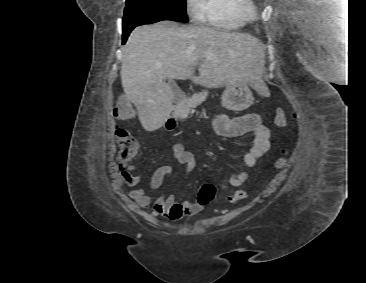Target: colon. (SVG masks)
<instances>
[{
	"mask_svg": "<svg viewBox=\"0 0 366 283\" xmlns=\"http://www.w3.org/2000/svg\"><path fill=\"white\" fill-rule=\"evenodd\" d=\"M134 114L133 107L125 97H120L117 100L116 106L114 108V115L117 119L126 120L132 117ZM294 116H292V119ZM287 122V117L281 108H278L274 118V124L277 128L284 127ZM115 139L117 143L121 146L119 152V161L121 164H128L129 161L137 154L138 146L135 140L131 137L128 131L124 128L117 127L115 129ZM285 150H283V153ZM285 157H280L274 162V166L277 169H281L285 166ZM215 186L211 183H204L201 185L197 195V202L200 206H205L214 197ZM247 191L244 189L236 191L232 196H230L229 201L231 203H236L247 197Z\"/></svg>",
	"mask_w": 366,
	"mask_h": 283,
	"instance_id": "5ec220e1",
	"label": "colon"
}]
</instances>
